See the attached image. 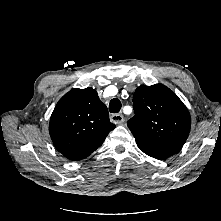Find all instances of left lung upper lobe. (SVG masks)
Listing matches in <instances>:
<instances>
[{
	"instance_id": "obj_1",
	"label": "left lung upper lobe",
	"mask_w": 221,
	"mask_h": 221,
	"mask_svg": "<svg viewBox=\"0 0 221 221\" xmlns=\"http://www.w3.org/2000/svg\"><path fill=\"white\" fill-rule=\"evenodd\" d=\"M133 108L135 115L128 127L141 151L166 159L182 149L191 118L173 91L162 84L141 85L133 95Z\"/></svg>"
}]
</instances>
